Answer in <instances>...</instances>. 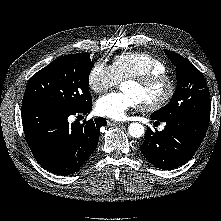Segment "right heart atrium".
<instances>
[{"label":"right heart atrium","mask_w":221,"mask_h":221,"mask_svg":"<svg viewBox=\"0 0 221 221\" xmlns=\"http://www.w3.org/2000/svg\"><path fill=\"white\" fill-rule=\"evenodd\" d=\"M119 83L112 67L104 62H96L89 71L88 85L90 89L102 94Z\"/></svg>","instance_id":"1"}]
</instances>
